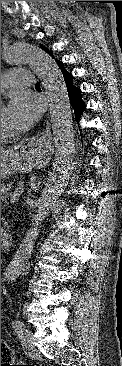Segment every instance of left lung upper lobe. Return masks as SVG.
<instances>
[{"instance_id":"5c2ea615","label":"left lung upper lobe","mask_w":122,"mask_h":366,"mask_svg":"<svg viewBox=\"0 0 122 366\" xmlns=\"http://www.w3.org/2000/svg\"><path fill=\"white\" fill-rule=\"evenodd\" d=\"M43 48V47H42ZM45 51H47L48 52V50L46 49V48H43ZM49 54H52L51 52H49Z\"/></svg>"}]
</instances>
